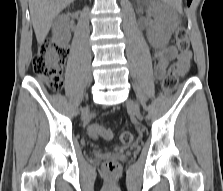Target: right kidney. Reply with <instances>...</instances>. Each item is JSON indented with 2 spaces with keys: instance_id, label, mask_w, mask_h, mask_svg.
I'll list each match as a JSON object with an SVG mask.
<instances>
[{
  "instance_id": "ca27d5eb",
  "label": "right kidney",
  "mask_w": 223,
  "mask_h": 191,
  "mask_svg": "<svg viewBox=\"0 0 223 191\" xmlns=\"http://www.w3.org/2000/svg\"><path fill=\"white\" fill-rule=\"evenodd\" d=\"M54 40L58 45H64L71 38L69 17L66 15L59 16L53 26Z\"/></svg>"
}]
</instances>
